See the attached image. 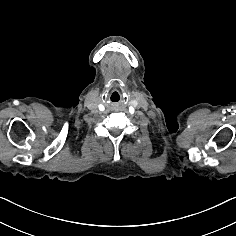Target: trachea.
I'll use <instances>...</instances> for the list:
<instances>
[{"label": "trachea", "mask_w": 236, "mask_h": 236, "mask_svg": "<svg viewBox=\"0 0 236 236\" xmlns=\"http://www.w3.org/2000/svg\"><path fill=\"white\" fill-rule=\"evenodd\" d=\"M110 98L114 101H119L122 98V93L118 90H112L110 92Z\"/></svg>", "instance_id": "3493384b"}]
</instances>
